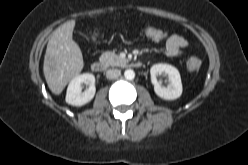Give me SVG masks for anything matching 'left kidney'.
I'll return each mask as SVG.
<instances>
[{
    "label": "left kidney",
    "instance_id": "left-kidney-1",
    "mask_svg": "<svg viewBox=\"0 0 248 165\" xmlns=\"http://www.w3.org/2000/svg\"><path fill=\"white\" fill-rule=\"evenodd\" d=\"M151 82L154 85L155 93L162 99L175 100L182 94V83L179 71L169 64H155L150 69ZM165 73L169 79V85L163 87L157 81V75Z\"/></svg>",
    "mask_w": 248,
    "mask_h": 165
}]
</instances>
